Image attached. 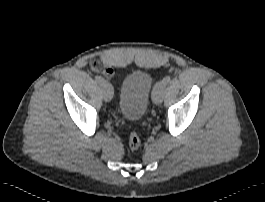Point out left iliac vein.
<instances>
[{
	"mask_svg": "<svg viewBox=\"0 0 265 202\" xmlns=\"http://www.w3.org/2000/svg\"><path fill=\"white\" fill-rule=\"evenodd\" d=\"M159 84L160 86L158 87V89H156L152 94L153 102L156 105H160L162 103L164 90H165V85L162 82H160Z\"/></svg>",
	"mask_w": 265,
	"mask_h": 202,
	"instance_id": "1",
	"label": "left iliac vein"
}]
</instances>
